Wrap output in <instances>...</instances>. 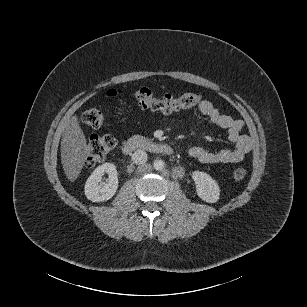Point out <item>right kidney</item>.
<instances>
[{
    "label": "right kidney",
    "mask_w": 307,
    "mask_h": 307,
    "mask_svg": "<svg viewBox=\"0 0 307 307\" xmlns=\"http://www.w3.org/2000/svg\"><path fill=\"white\" fill-rule=\"evenodd\" d=\"M108 174L106 183L102 177ZM99 183H101L99 185ZM118 191V177L116 166L113 163H104L98 166L87 179L85 196L91 202H106L112 199Z\"/></svg>",
    "instance_id": "1"
}]
</instances>
